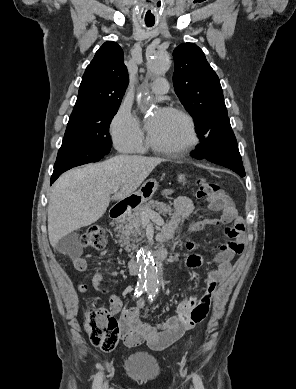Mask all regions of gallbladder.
<instances>
[{
    "label": "gallbladder",
    "instance_id": "1",
    "mask_svg": "<svg viewBox=\"0 0 296 389\" xmlns=\"http://www.w3.org/2000/svg\"><path fill=\"white\" fill-rule=\"evenodd\" d=\"M57 249L62 254L69 255L70 257H79L83 252L79 241V234L77 232H71L63 236L57 243Z\"/></svg>",
    "mask_w": 296,
    "mask_h": 389
}]
</instances>
